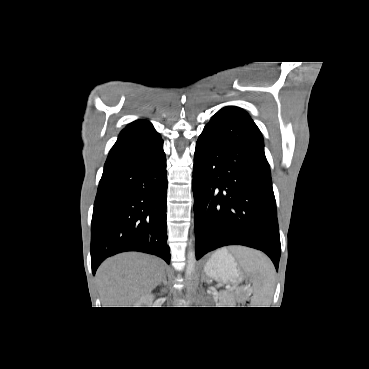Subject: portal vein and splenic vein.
I'll use <instances>...</instances> for the list:
<instances>
[{
	"instance_id": "18ae733b",
	"label": "portal vein and splenic vein",
	"mask_w": 369,
	"mask_h": 369,
	"mask_svg": "<svg viewBox=\"0 0 369 369\" xmlns=\"http://www.w3.org/2000/svg\"><path fill=\"white\" fill-rule=\"evenodd\" d=\"M227 289H229L230 287L229 286H226Z\"/></svg>"
}]
</instances>
